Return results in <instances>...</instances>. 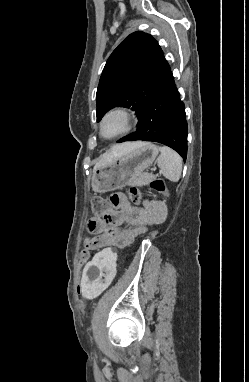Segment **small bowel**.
<instances>
[{
    "mask_svg": "<svg viewBox=\"0 0 249 382\" xmlns=\"http://www.w3.org/2000/svg\"><path fill=\"white\" fill-rule=\"evenodd\" d=\"M110 203L112 209L107 214L93 216L88 220L87 231L91 237L86 239L87 249L111 250L125 247L149 226L162 223L167 216V209L162 203H145L138 207L132 205L122 193L111 195ZM124 223L129 226L123 228ZM80 287L79 284L78 291Z\"/></svg>",
    "mask_w": 249,
    "mask_h": 382,
    "instance_id": "small-bowel-1",
    "label": "small bowel"
}]
</instances>
